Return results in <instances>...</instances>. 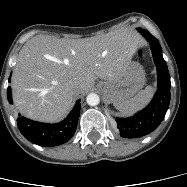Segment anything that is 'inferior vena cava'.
<instances>
[{"mask_svg": "<svg viewBox=\"0 0 187 187\" xmlns=\"http://www.w3.org/2000/svg\"><path fill=\"white\" fill-rule=\"evenodd\" d=\"M70 90H71V92H72L73 94L76 93V88H75L74 86H72V87L70 88Z\"/></svg>", "mask_w": 187, "mask_h": 187, "instance_id": "1", "label": "inferior vena cava"}]
</instances>
